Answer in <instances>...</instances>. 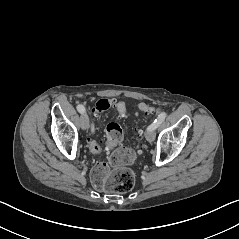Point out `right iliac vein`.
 Segmentation results:
<instances>
[{"instance_id": "1", "label": "right iliac vein", "mask_w": 239, "mask_h": 239, "mask_svg": "<svg viewBox=\"0 0 239 239\" xmlns=\"http://www.w3.org/2000/svg\"><path fill=\"white\" fill-rule=\"evenodd\" d=\"M80 126L83 130L88 129L89 127V118L87 114H82L80 117Z\"/></svg>"}]
</instances>
